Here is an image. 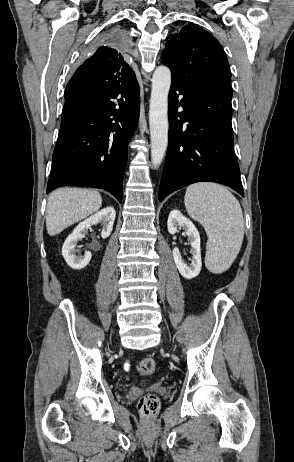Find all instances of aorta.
<instances>
[{
  "mask_svg": "<svg viewBox=\"0 0 294 462\" xmlns=\"http://www.w3.org/2000/svg\"><path fill=\"white\" fill-rule=\"evenodd\" d=\"M171 85V72L166 66L155 69L149 106V125L151 139V162L158 167L168 146V93Z\"/></svg>",
  "mask_w": 294,
  "mask_h": 462,
  "instance_id": "1",
  "label": "aorta"
}]
</instances>
